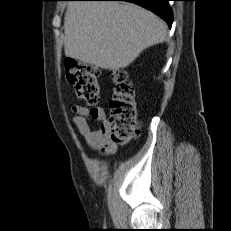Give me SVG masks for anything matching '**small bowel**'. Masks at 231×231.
<instances>
[{
    "instance_id": "c3829d8e",
    "label": "small bowel",
    "mask_w": 231,
    "mask_h": 231,
    "mask_svg": "<svg viewBox=\"0 0 231 231\" xmlns=\"http://www.w3.org/2000/svg\"><path fill=\"white\" fill-rule=\"evenodd\" d=\"M73 123L79 134L85 139L86 144L92 149L104 155H110L115 150V144L110 138V122L107 120L105 111L101 107L88 108L76 105ZM91 121L99 123L98 128L91 127Z\"/></svg>"
}]
</instances>
